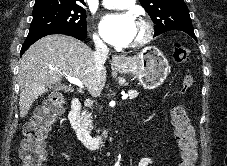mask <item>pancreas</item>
<instances>
[{"label": "pancreas", "mask_w": 227, "mask_h": 166, "mask_svg": "<svg viewBox=\"0 0 227 166\" xmlns=\"http://www.w3.org/2000/svg\"><path fill=\"white\" fill-rule=\"evenodd\" d=\"M139 95V92L136 90H130L128 92V96L130 99H134L135 97H137ZM81 122L83 125L85 126H89L90 128H92V116L91 113L87 112L86 110L82 112L81 114Z\"/></svg>", "instance_id": "cf45deb5"}]
</instances>
